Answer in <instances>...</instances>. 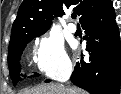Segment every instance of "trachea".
Returning a JSON list of instances; mask_svg holds the SVG:
<instances>
[{
    "label": "trachea",
    "instance_id": "3493384b",
    "mask_svg": "<svg viewBox=\"0 0 121 94\" xmlns=\"http://www.w3.org/2000/svg\"><path fill=\"white\" fill-rule=\"evenodd\" d=\"M71 17L73 18V19H76V14L75 13H73L72 15H71Z\"/></svg>",
    "mask_w": 121,
    "mask_h": 94
}]
</instances>
